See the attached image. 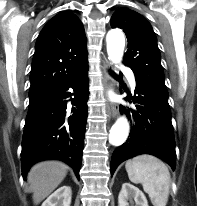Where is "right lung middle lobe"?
Returning <instances> with one entry per match:
<instances>
[{
    "label": "right lung middle lobe",
    "instance_id": "dd1d6c3e",
    "mask_svg": "<svg viewBox=\"0 0 197 206\" xmlns=\"http://www.w3.org/2000/svg\"><path fill=\"white\" fill-rule=\"evenodd\" d=\"M48 92H29L30 103L42 98Z\"/></svg>",
    "mask_w": 197,
    "mask_h": 206
}]
</instances>
